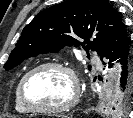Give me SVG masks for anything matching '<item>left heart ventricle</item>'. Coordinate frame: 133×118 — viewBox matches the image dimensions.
I'll return each mask as SVG.
<instances>
[{
    "label": "left heart ventricle",
    "mask_w": 133,
    "mask_h": 118,
    "mask_svg": "<svg viewBox=\"0 0 133 118\" xmlns=\"http://www.w3.org/2000/svg\"><path fill=\"white\" fill-rule=\"evenodd\" d=\"M26 93L35 106L55 107L71 99L73 85L65 71L49 68L37 72L29 79Z\"/></svg>",
    "instance_id": "obj_1"
}]
</instances>
